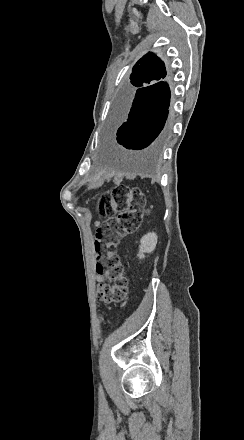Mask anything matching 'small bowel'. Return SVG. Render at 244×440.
<instances>
[{"instance_id": "obj_1", "label": "small bowel", "mask_w": 244, "mask_h": 440, "mask_svg": "<svg viewBox=\"0 0 244 440\" xmlns=\"http://www.w3.org/2000/svg\"><path fill=\"white\" fill-rule=\"evenodd\" d=\"M94 225H95V227L99 228L101 224L99 221H95ZM96 278H97V281L100 283L110 282V280H111L110 278L105 277V275L99 271H97Z\"/></svg>"}]
</instances>
